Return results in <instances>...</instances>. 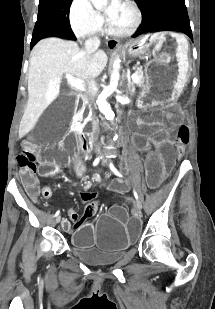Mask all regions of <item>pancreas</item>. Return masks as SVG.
<instances>
[{
    "label": "pancreas",
    "mask_w": 215,
    "mask_h": 309,
    "mask_svg": "<svg viewBox=\"0 0 215 309\" xmlns=\"http://www.w3.org/2000/svg\"><path fill=\"white\" fill-rule=\"evenodd\" d=\"M134 74H137L139 80H137V82H128V86H129V88H132V90H134L135 84H136V86H143V84L145 82V76H143V70H139V68H136ZM82 114H83V112H82Z\"/></svg>",
    "instance_id": "cf45deb5"
}]
</instances>
